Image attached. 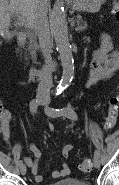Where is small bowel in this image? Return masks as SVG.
Returning <instances> with one entry per match:
<instances>
[{"instance_id": "c3829d8e", "label": "small bowel", "mask_w": 119, "mask_h": 185, "mask_svg": "<svg viewBox=\"0 0 119 185\" xmlns=\"http://www.w3.org/2000/svg\"><path fill=\"white\" fill-rule=\"evenodd\" d=\"M119 65V53L112 46L110 38L102 34L100 36V46L93 52L92 59L90 63V72L89 77L86 81V87L91 88L95 84L101 81L109 80L114 72L117 70ZM5 117L2 120V134L4 140L9 144L10 143V127L9 121L11 118L10 113L5 110ZM49 129L54 130V126L50 125ZM73 145L67 144L62 149L63 164L62 168L56 170L52 173V176L56 179L64 178L68 176L71 172V169L68 165V160L70 157V152L73 150ZM33 158L24 156L23 159L25 163L31 169V172L34 176L36 182H42L44 177L38 172L39 160L42 157V151L35 145L31 144L29 146Z\"/></svg>"}]
</instances>
